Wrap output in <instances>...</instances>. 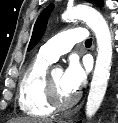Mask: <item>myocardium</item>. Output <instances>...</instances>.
Here are the masks:
<instances>
[{"instance_id": "myocardium-1", "label": "myocardium", "mask_w": 118, "mask_h": 123, "mask_svg": "<svg viewBox=\"0 0 118 123\" xmlns=\"http://www.w3.org/2000/svg\"><path fill=\"white\" fill-rule=\"evenodd\" d=\"M46 100L53 110H66L71 108L79 99V94L74 93L69 99L61 100L57 94L56 88L51 78V73L47 72L45 78Z\"/></svg>"}]
</instances>
